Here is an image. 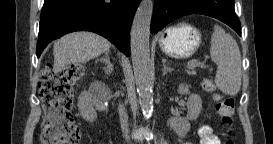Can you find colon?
<instances>
[{"mask_svg": "<svg viewBox=\"0 0 273 144\" xmlns=\"http://www.w3.org/2000/svg\"><path fill=\"white\" fill-rule=\"evenodd\" d=\"M83 76L80 67L66 68L60 72L46 69L39 77V96L44 107L41 141L43 144H77L80 131L72 116V85ZM204 87L213 90L211 81L206 80ZM216 111L225 128V144H232L230 126L235 110L232 97L216 95Z\"/></svg>", "mask_w": 273, "mask_h": 144, "instance_id": "1", "label": "colon"}]
</instances>
